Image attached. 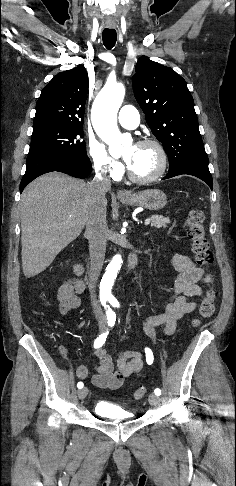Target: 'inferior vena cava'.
<instances>
[{
  "instance_id": "1",
  "label": "inferior vena cava",
  "mask_w": 236,
  "mask_h": 486,
  "mask_svg": "<svg viewBox=\"0 0 236 486\" xmlns=\"http://www.w3.org/2000/svg\"><path fill=\"white\" fill-rule=\"evenodd\" d=\"M96 174L89 184L90 205L86 217L85 234L89 240L90 251V270H89V290L91 303L94 313L102 315L101 308L98 304L95 285L102 270L106 252V205L105 194L111 188V180L104 175V171L96 168Z\"/></svg>"
}]
</instances>
